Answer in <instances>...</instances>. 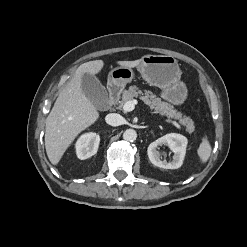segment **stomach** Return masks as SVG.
I'll return each mask as SVG.
<instances>
[{
  "mask_svg": "<svg viewBox=\"0 0 247 247\" xmlns=\"http://www.w3.org/2000/svg\"><path fill=\"white\" fill-rule=\"evenodd\" d=\"M138 65L142 78L151 86L161 89V97L166 101L181 105L187 98V87L181 81V70L177 60L169 55H145ZM132 68L119 66L108 75V85L123 89L133 79Z\"/></svg>",
  "mask_w": 247,
  "mask_h": 247,
  "instance_id": "1",
  "label": "stomach"
}]
</instances>
